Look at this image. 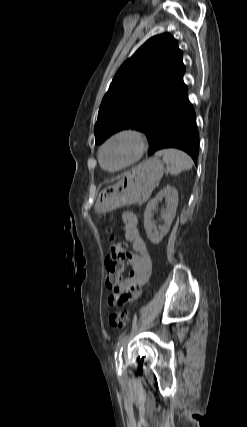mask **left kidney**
<instances>
[{"label":"left kidney","instance_id":"obj_1","mask_svg":"<svg viewBox=\"0 0 247 427\" xmlns=\"http://www.w3.org/2000/svg\"><path fill=\"white\" fill-rule=\"evenodd\" d=\"M165 198L167 203L166 209L162 210L161 215L164 219V225H160L159 231L153 222V211L157 209L158 202ZM178 191L172 186H166L158 192L155 198L150 200L144 212V227L147 237L153 244H159L163 237L167 235L170 226L175 218L178 206Z\"/></svg>","mask_w":247,"mask_h":427}]
</instances>
